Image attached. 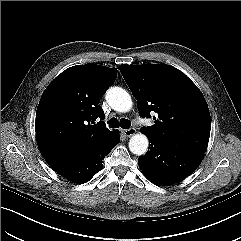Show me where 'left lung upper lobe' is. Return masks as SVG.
Instances as JSON below:
<instances>
[{
    "label": "left lung upper lobe",
    "mask_w": 241,
    "mask_h": 241,
    "mask_svg": "<svg viewBox=\"0 0 241 241\" xmlns=\"http://www.w3.org/2000/svg\"><path fill=\"white\" fill-rule=\"evenodd\" d=\"M140 115L156 112L154 125L141 132L179 148L204 153L210 137V112L197 86L167 64L120 66Z\"/></svg>",
    "instance_id": "obj_1"
}]
</instances>
